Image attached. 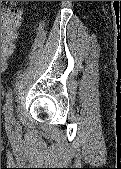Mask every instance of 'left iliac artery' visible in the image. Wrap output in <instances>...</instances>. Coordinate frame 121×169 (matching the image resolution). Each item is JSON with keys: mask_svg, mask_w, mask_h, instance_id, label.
Returning <instances> with one entry per match:
<instances>
[{"mask_svg": "<svg viewBox=\"0 0 121 169\" xmlns=\"http://www.w3.org/2000/svg\"><path fill=\"white\" fill-rule=\"evenodd\" d=\"M5 118L9 122H12V123L15 122V118L13 115V106H12V92L10 91L6 94Z\"/></svg>", "mask_w": 121, "mask_h": 169, "instance_id": "1", "label": "left iliac artery"}]
</instances>
